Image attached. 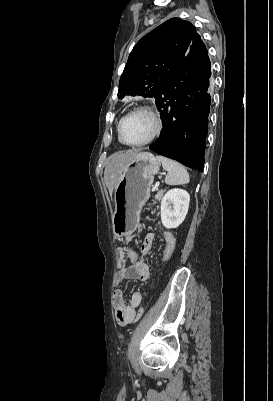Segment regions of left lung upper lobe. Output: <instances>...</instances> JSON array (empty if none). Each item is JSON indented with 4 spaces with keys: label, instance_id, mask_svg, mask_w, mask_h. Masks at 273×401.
Here are the masks:
<instances>
[{
    "label": "left lung upper lobe",
    "instance_id": "left-lung-upper-lobe-1",
    "mask_svg": "<svg viewBox=\"0 0 273 401\" xmlns=\"http://www.w3.org/2000/svg\"><path fill=\"white\" fill-rule=\"evenodd\" d=\"M197 38L199 34L193 24L180 18H171L142 37L120 77L118 98L125 95L156 98Z\"/></svg>",
    "mask_w": 273,
    "mask_h": 401
}]
</instances>
